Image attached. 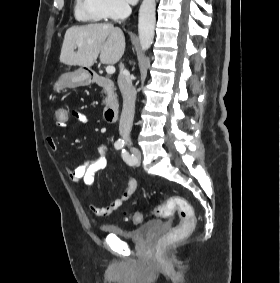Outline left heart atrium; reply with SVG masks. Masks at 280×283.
<instances>
[{
  "label": "left heart atrium",
  "instance_id": "39dd6f15",
  "mask_svg": "<svg viewBox=\"0 0 280 283\" xmlns=\"http://www.w3.org/2000/svg\"><path fill=\"white\" fill-rule=\"evenodd\" d=\"M130 4H136L138 0H127Z\"/></svg>",
  "mask_w": 280,
  "mask_h": 283
}]
</instances>
